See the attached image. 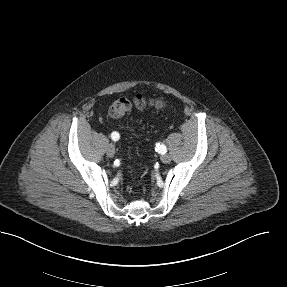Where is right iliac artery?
I'll return each mask as SVG.
<instances>
[{
    "instance_id": "obj_1",
    "label": "right iliac artery",
    "mask_w": 287,
    "mask_h": 287,
    "mask_svg": "<svg viewBox=\"0 0 287 287\" xmlns=\"http://www.w3.org/2000/svg\"><path fill=\"white\" fill-rule=\"evenodd\" d=\"M111 138H112L114 141H117V140L120 138V136H119L118 132H112Z\"/></svg>"
}]
</instances>
